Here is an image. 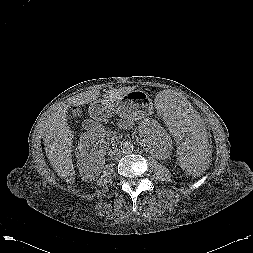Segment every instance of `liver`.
<instances>
[{"label":"liver","mask_w":253,"mask_h":253,"mask_svg":"<svg viewBox=\"0 0 253 253\" xmlns=\"http://www.w3.org/2000/svg\"><path fill=\"white\" fill-rule=\"evenodd\" d=\"M135 89L136 86L113 89L104 93L101 100L105 103L117 101ZM99 95V89H93L69 98L67 103H61L56 107L43 126V140L47 158L58 176L70 184L75 182L76 173L72 161L73 134L67 123V111L71 106L96 103Z\"/></svg>","instance_id":"obj_1"}]
</instances>
